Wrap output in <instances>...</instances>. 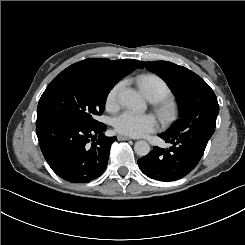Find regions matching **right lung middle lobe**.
I'll list each match as a JSON object with an SVG mask.
<instances>
[{"label": "right lung middle lobe", "mask_w": 245, "mask_h": 245, "mask_svg": "<svg viewBox=\"0 0 245 245\" xmlns=\"http://www.w3.org/2000/svg\"><path fill=\"white\" fill-rule=\"evenodd\" d=\"M117 82L107 75L66 68L42 94L36 126L58 122L98 123L95 116L103 113L107 95Z\"/></svg>", "instance_id": "obj_1"}]
</instances>
